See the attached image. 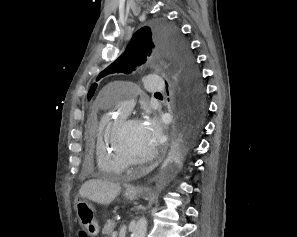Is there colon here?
I'll use <instances>...</instances> for the list:
<instances>
[{
  "instance_id": "obj_1",
  "label": "colon",
  "mask_w": 297,
  "mask_h": 237,
  "mask_svg": "<svg viewBox=\"0 0 297 237\" xmlns=\"http://www.w3.org/2000/svg\"><path fill=\"white\" fill-rule=\"evenodd\" d=\"M77 237H88V234L85 231H79Z\"/></svg>"
}]
</instances>
